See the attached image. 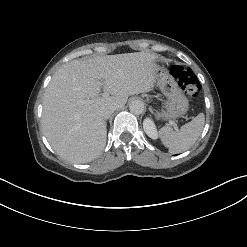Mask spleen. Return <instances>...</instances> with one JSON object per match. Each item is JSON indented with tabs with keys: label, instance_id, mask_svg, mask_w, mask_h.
Returning a JSON list of instances; mask_svg holds the SVG:
<instances>
[{
	"label": "spleen",
	"instance_id": "1",
	"mask_svg": "<svg viewBox=\"0 0 247 247\" xmlns=\"http://www.w3.org/2000/svg\"><path fill=\"white\" fill-rule=\"evenodd\" d=\"M204 122L205 115L200 113L191 122L183 125L178 131H174L168 126L163 127L159 132L161 141L172 154L188 150L201 135Z\"/></svg>",
	"mask_w": 247,
	"mask_h": 247
}]
</instances>
